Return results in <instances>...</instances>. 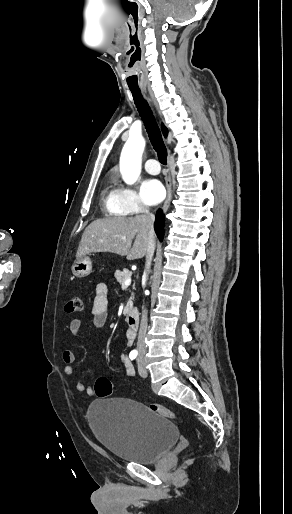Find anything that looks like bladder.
<instances>
[{
    "label": "bladder",
    "instance_id": "31cf9c89",
    "mask_svg": "<svg viewBox=\"0 0 292 514\" xmlns=\"http://www.w3.org/2000/svg\"><path fill=\"white\" fill-rule=\"evenodd\" d=\"M89 426L100 444L115 458L150 464L178 441L177 426L149 406L127 398L93 401L87 410Z\"/></svg>",
    "mask_w": 292,
    "mask_h": 514
}]
</instances>
